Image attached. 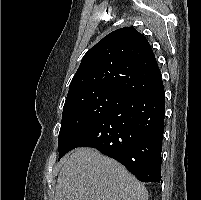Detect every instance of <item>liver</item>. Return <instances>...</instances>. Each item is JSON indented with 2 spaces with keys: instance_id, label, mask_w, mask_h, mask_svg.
<instances>
[{
  "instance_id": "6515ba94",
  "label": "liver",
  "mask_w": 201,
  "mask_h": 200,
  "mask_svg": "<svg viewBox=\"0 0 201 200\" xmlns=\"http://www.w3.org/2000/svg\"><path fill=\"white\" fill-rule=\"evenodd\" d=\"M55 200H148V194L120 163L82 147L64 159Z\"/></svg>"
}]
</instances>
